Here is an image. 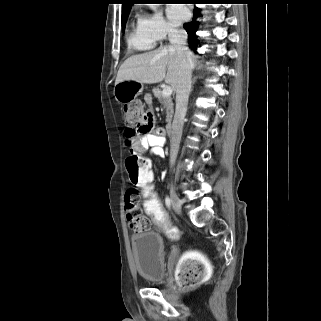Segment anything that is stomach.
I'll return each instance as SVG.
<instances>
[{"label": "stomach", "mask_w": 321, "mask_h": 321, "mask_svg": "<svg viewBox=\"0 0 321 321\" xmlns=\"http://www.w3.org/2000/svg\"><path fill=\"white\" fill-rule=\"evenodd\" d=\"M142 91V83L131 80H124L115 84L114 96L119 103L125 104L140 95Z\"/></svg>", "instance_id": "stomach-1"}]
</instances>
